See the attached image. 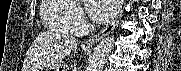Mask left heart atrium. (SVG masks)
<instances>
[{
	"label": "left heart atrium",
	"instance_id": "1",
	"mask_svg": "<svg viewBox=\"0 0 181 71\" xmlns=\"http://www.w3.org/2000/svg\"><path fill=\"white\" fill-rule=\"evenodd\" d=\"M118 5L117 0H89L88 11L93 20L103 23L114 16Z\"/></svg>",
	"mask_w": 181,
	"mask_h": 71
}]
</instances>
